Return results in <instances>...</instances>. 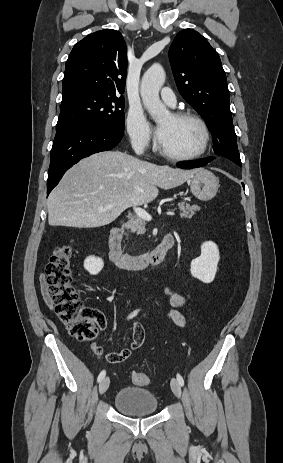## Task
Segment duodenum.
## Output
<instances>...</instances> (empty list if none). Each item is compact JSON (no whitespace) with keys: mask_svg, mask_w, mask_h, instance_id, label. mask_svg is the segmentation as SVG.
Masks as SVG:
<instances>
[{"mask_svg":"<svg viewBox=\"0 0 283 463\" xmlns=\"http://www.w3.org/2000/svg\"><path fill=\"white\" fill-rule=\"evenodd\" d=\"M122 233L119 228L111 227L109 234V257L110 260L119 268L142 270L149 265H161L167 252L172 248L175 242L172 233L166 234L157 247L148 255L134 256L124 253L121 248Z\"/></svg>","mask_w":283,"mask_h":463,"instance_id":"1","label":"duodenum"}]
</instances>
